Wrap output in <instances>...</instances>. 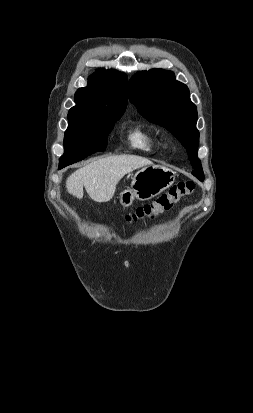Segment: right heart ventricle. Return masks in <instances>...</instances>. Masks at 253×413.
Returning a JSON list of instances; mask_svg holds the SVG:
<instances>
[{
    "instance_id": "1",
    "label": "right heart ventricle",
    "mask_w": 253,
    "mask_h": 413,
    "mask_svg": "<svg viewBox=\"0 0 253 413\" xmlns=\"http://www.w3.org/2000/svg\"><path fill=\"white\" fill-rule=\"evenodd\" d=\"M127 141L133 150L144 153H155L161 145L156 133L143 125H137L130 130Z\"/></svg>"
}]
</instances>
